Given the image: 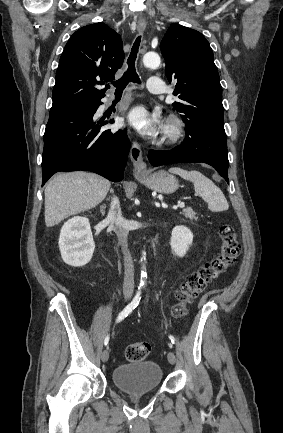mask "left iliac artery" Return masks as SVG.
<instances>
[{
	"label": "left iliac artery",
	"instance_id": "1",
	"mask_svg": "<svg viewBox=\"0 0 283 433\" xmlns=\"http://www.w3.org/2000/svg\"><path fill=\"white\" fill-rule=\"evenodd\" d=\"M169 339L171 340V342L174 344L175 343V338L172 335H169Z\"/></svg>",
	"mask_w": 283,
	"mask_h": 433
}]
</instances>
